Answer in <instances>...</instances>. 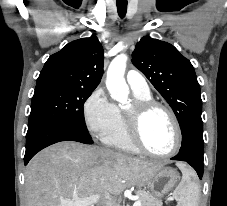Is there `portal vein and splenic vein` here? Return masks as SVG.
I'll return each mask as SVG.
<instances>
[{"mask_svg":"<svg viewBox=\"0 0 227 206\" xmlns=\"http://www.w3.org/2000/svg\"><path fill=\"white\" fill-rule=\"evenodd\" d=\"M100 200V195L95 194L92 196H89L85 199L77 200L74 202H65L66 206H93L92 204L99 202ZM133 206H141L140 201H135Z\"/></svg>","mask_w":227,"mask_h":206,"instance_id":"1","label":"portal vein and splenic vein"}]
</instances>
